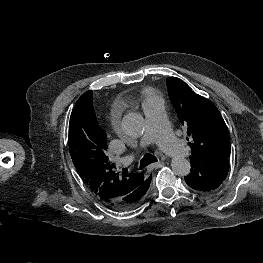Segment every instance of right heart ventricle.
<instances>
[{"label":"right heart ventricle","instance_id":"right-heart-ventricle-1","mask_svg":"<svg viewBox=\"0 0 263 263\" xmlns=\"http://www.w3.org/2000/svg\"><path fill=\"white\" fill-rule=\"evenodd\" d=\"M146 95H147V97H148V98H147V100H148V99H150V98L152 97V92H147Z\"/></svg>","mask_w":263,"mask_h":263}]
</instances>
